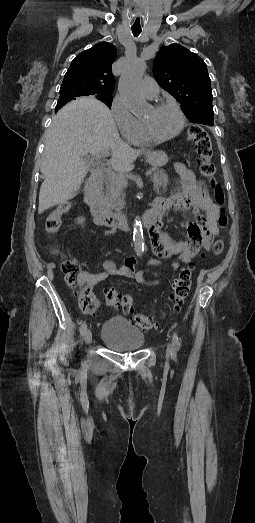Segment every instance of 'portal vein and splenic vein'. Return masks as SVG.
Wrapping results in <instances>:
<instances>
[{
    "label": "portal vein and splenic vein",
    "mask_w": 255,
    "mask_h": 523,
    "mask_svg": "<svg viewBox=\"0 0 255 523\" xmlns=\"http://www.w3.org/2000/svg\"><path fill=\"white\" fill-rule=\"evenodd\" d=\"M108 154V152H107ZM107 154H99V156H107ZM97 162H99L100 158H96ZM98 170H102V174L105 175H116V174H124V169H117L115 165H112L109 162H106L104 166L102 167V164H99ZM152 176L151 172L145 171L144 177ZM124 186H127V182L125 180Z\"/></svg>",
    "instance_id": "obj_1"
}]
</instances>
